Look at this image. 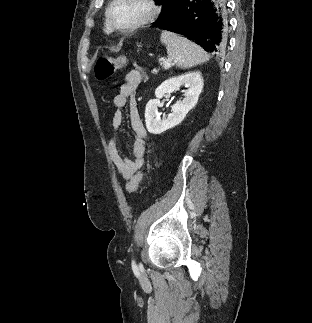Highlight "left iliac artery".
Returning <instances> with one entry per match:
<instances>
[{"label": "left iliac artery", "instance_id": "obj_1", "mask_svg": "<svg viewBox=\"0 0 312 323\" xmlns=\"http://www.w3.org/2000/svg\"><path fill=\"white\" fill-rule=\"evenodd\" d=\"M132 267H133V269L136 267V265H135V263H134V262H132Z\"/></svg>", "mask_w": 312, "mask_h": 323}]
</instances>
